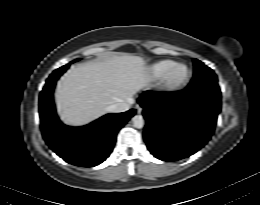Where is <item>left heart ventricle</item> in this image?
Returning a JSON list of instances; mask_svg holds the SVG:
<instances>
[{
  "label": "left heart ventricle",
  "instance_id": "left-heart-ventricle-1",
  "mask_svg": "<svg viewBox=\"0 0 260 205\" xmlns=\"http://www.w3.org/2000/svg\"><path fill=\"white\" fill-rule=\"evenodd\" d=\"M186 76V69L184 67H180L175 70L173 73V80L179 81L182 80Z\"/></svg>",
  "mask_w": 260,
  "mask_h": 205
}]
</instances>
